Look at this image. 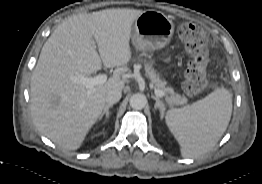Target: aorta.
<instances>
[{
    "label": "aorta",
    "instance_id": "762f6f07",
    "mask_svg": "<svg viewBox=\"0 0 262 184\" xmlns=\"http://www.w3.org/2000/svg\"><path fill=\"white\" fill-rule=\"evenodd\" d=\"M129 103L133 109L141 110L146 106L147 98L142 93H135L131 96Z\"/></svg>",
    "mask_w": 262,
    "mask_h": 184
}]
</instances>
